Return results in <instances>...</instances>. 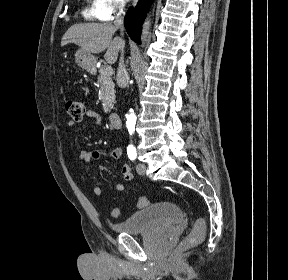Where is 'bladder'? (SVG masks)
Wrapping results in <instances>:
<instances>
[{
    "label": "bladder",
    "instance_id": "31cf9c89",
    "mask_svg": "<svg viewBox=\"0 0 288 280\" xmlns=\"http://www.w3.org/2000/svg\"><path fill=\"white\" fill-rule=\"evenodd\" d=\"M183 213L179 206L169 202L149 205L134 213L124 221L114 224L118 233L137 234L151 230L164 229L181 222Z\"/></svg>",
    "mask_w": 288,
    "mask_h": 280
}]
</instances>
